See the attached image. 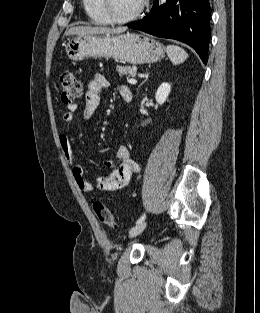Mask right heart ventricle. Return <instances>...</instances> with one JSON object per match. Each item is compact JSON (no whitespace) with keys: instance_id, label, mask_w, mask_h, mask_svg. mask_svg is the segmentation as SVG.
<instances>
[{"instance_id":"e07e8e85","label":"right heart ventricle","mask_w":260,"mask_h":313,"mask_svg":"<svg viewBox=\"0 0 260 313\" xmlns=\"http://www.w3.org/2000/svg\"><path fill=\"white\" fill-rule=\"evenodd\" d=\"M82 6L92 23L97 25L110 23L100 8V0H82Z\"/></svg>"}]
</instances>
